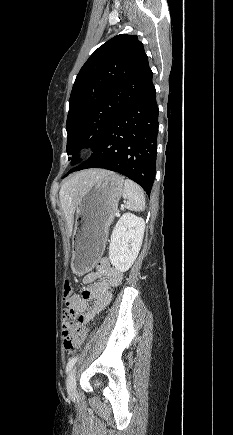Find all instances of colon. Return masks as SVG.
<instances>
[{"label":"colon","mask_w":233,"mask_h":435,"mask_svg":"<svg viewBox=\"0 0 233 435\" xmlns=\"http://www.w3.org/2000/svg\"><path fill=\"white\" fill-rule=\"evenodd\" d=\"M72 292H73L72 283L69 280H65L63 283L64 299L70 297ZM78 320H81L80 317H78ZM71 328H72V325L70 323L69 325L64 327V330H63V344H64L65 349L69 352L73 351L75 349V347L77 346L75 339H74V336L72 335Z\"/></svg>","instance_id":"obj_1"}]
</instances>
